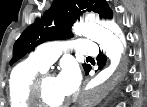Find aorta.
Segmentation results:
<instances>
[{
	"mask_svg": "<svg viewBox=\"0 0 147 107\" xmlns=\"http://www.w3.org/2000/svg\"><path fill=\"white\" fill-rule=\"evenodd\" d=\"M73 33L97 42L111 64L92 80L82 96L85 107L97 105L113 87L114 79L120 74V63L124 52V39L117 25L111 22L85 21L73 26Z\"/></svg>",
	"mask_w": 147,
	"mask_h": 107,
	"instance_id": "1",
	"label": "aorta"
}]
</instances>
